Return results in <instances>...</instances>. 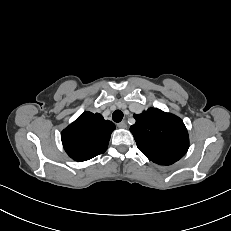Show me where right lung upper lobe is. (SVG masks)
Instances as JSON below:
<instances>
[{
	"instance_id": "right-lung-upper-lobe-1",
	"label": "right lung upper lobe",
	"mask_w": 231,
	"mask_h": 231,
	"mask_svg": "<svg viewBox=\"0 0 231 231\" xmlns=\"http://www.w3.org/2000/svg\"><path fill=\"white\" fill-rule=\"evenodd\" d=\"M114 129V123L87 111L62 131L61 139L67 154L82 162L106 151Z\"/></svg>"
}]
</instances>
